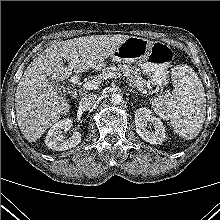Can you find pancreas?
Listing matches in <instances>:
<instances>
[{
	"mask_svg": "<svg viewBox=\"0 0 220 220\" xmlns=\"http://www.w3.org/2000/svg\"><path fill=\"white\" fill-rule=\"evenodd\" d=\"M111 72L123 73L124 76L126 77V82L128 83L129 86L137 87L138 89H143V87H145L146 85V80H144L141 77L140 72L134 67L127 65H118V66L113 65L110 67H106L102 69V72L98 76H95L94 79L102 81Z\"/></svg>",
	"mask_w": 220,
	"mask_h": 220,
	"instance_id": "1",
	"label": "pancreas"
}]
</instances>
